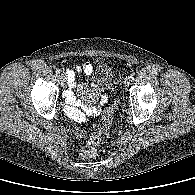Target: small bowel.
I'll return each instance as SVG.
<instances>
[{"label": "small bowel", "mask_w": 195, "mask_h": 195, "mask_svg": "<svg viewBox=\"0 0 195 195\" xmlns=\"http://www.w3.org/2000/svg\"><path fill=\"white\" fill-rule=\"evenodd\" d=\"M103 65H99L98 67H102ZM83 71L86 75L90 76L94 73L95 67L89 63H83L80 66H77L74 70L67 71V81L68 88L65 92V98L68 103L66 107V112L68 116L74 120L75 122H83L86 119V116H97L100 113V109L98 107H88L82 105V103L75 98L73 95V90H79L81 92H85V86L79 85L76 81V74ZM102 102L107 101V96H102Z\"/></svg>", "instance_id": "c3829d8e"}]
</instances>
